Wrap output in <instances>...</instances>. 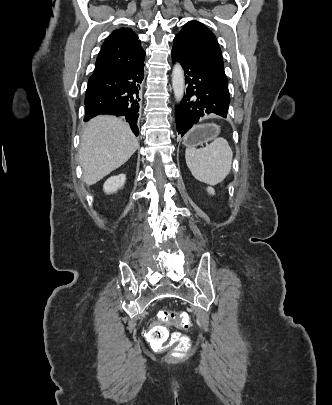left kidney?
Instances as JSON below:
<instances>
[{
    "instance_id": "5707ae66",
    "label": "left kidney",
    "mask_w": 332,
    "mask_h": 405,
    "mask_svg": "<svg viewBox=\"0 0 332 405\" xmlns=\"http://www.w3.org/2000/svg\"><path fill=\"white\" fill-rule=\"evenodd\" d=\"M207 191L209 192V194H214L215 193L214 189L211 188V187H208Z\"/></svg>"
}]
</instances>
